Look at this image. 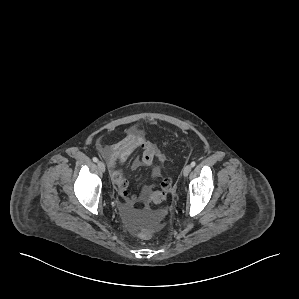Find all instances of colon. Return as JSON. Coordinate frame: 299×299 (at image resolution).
Returning <instances> with one entry per match:
<instances>
[{
    "instance_id": "colon-1",
    "label": "colon",
    "mask_w": 299,
    "mask_h": 299,
    "mask_svg": "<svg viewBox=\"0 0 299 299\" xmlns=\"http://www.w3.org/2000/svg\"><path fill=\"white\" fill-rule=\"evenodd\" d=\"M170 188V183L165 182V184L162 187V190L156 191L151 195V200L160 203L166 200L167 198V191ZM159 231V226L157 224L147 226L143 228L139 232V236L143 239H149L153 237L157 232Z\"/></svg>"
}]
</instances>
